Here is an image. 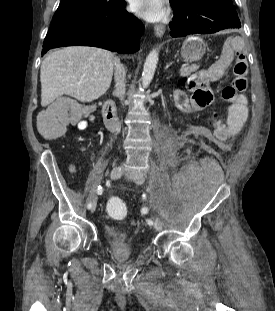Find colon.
Returning a JSON list of instances; mask_svg holds the SVG:
<instances>
[{
	"instance_id": "obj_1",
	"label": "colon",
	"mask_w": 275,
	"mask_h": 311,
	"mask_svg": "<svg viewBox=\"0 0 275 311\" xmlns=\"http://www.w3.org/2000/svg\"><path fill=\"white\" fill-rule=\"evenodd\" d=\"M247 72L248 66L245 57H237L234 64L235 78L229 85L225 86L221 92V97L224 101L230 102L239 93L246 90ZM78 119L79 114L76 112L73 103L70 100H59L39 115V131L46 138H55L63 134V130L66 126L76 122ZM107 210L113 217L122 218L126 214V206L124 202L118 198H111L108 200Z\"/></svg>"
}]
</instances>
